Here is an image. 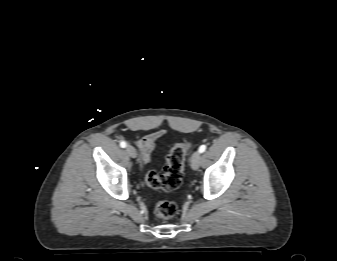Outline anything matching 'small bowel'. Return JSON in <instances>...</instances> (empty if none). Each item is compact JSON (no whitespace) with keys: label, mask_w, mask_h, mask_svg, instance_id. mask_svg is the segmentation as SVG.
<instances>
[{"label":"small bowel","mask_w":337,"mask_h":261,"mask_svg":"<svg viewBox=\"0 0 337 261\" xmlns=\"http://www.w3.org/2000/svg\"><path fill=\"white\" fill-rule=\"evenodd\" d=\"M165 134L164 130H158L153 133H150L140 139L135 140V144L140 150L141 157L143 161L147 162L150 160L151 155L153 154L156 148V142L162 138Z\"/></svg>","instance_id":"small-bowel-1"}]
</instances>
